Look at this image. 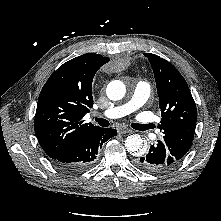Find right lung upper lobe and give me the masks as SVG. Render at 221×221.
I'll list each match as a JSON object with an SVG mask.
<instances>
[{"instance_id":"obj_1","label":"right lung upper lobe","mask_w":221,"mask_h":221,"mask_svg":"<svg viewBox=\"0 0 221 221\" xmlns=\"http://www.w3.org/2000/svg\"><path fill=\"white\" fill-rule=\"evenodd\" d=\"M109 59L95 53L73 58L60 66L43 86L34 130L45 153L54 158L98 126L84 123L93 107L92 81Z\"/></svg>"}]
</instances>
